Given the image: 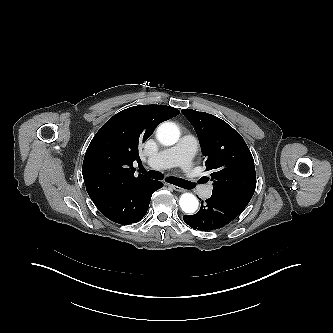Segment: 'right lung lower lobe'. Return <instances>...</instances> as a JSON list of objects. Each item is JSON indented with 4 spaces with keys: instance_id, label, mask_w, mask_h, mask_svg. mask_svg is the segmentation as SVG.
Listing matches in <instances>:
<instances>
[{
    "instance_id": "obj_1",
    "label": "right lung lower lobe",
    "mask_w": 333,
    "mask_h": 333,
    "mask_svg": "<svg viewBox=\"0 0 333 333\" xmlns=\"http://www.w3.org/2000/svg\"><path fill=\"white\" fill-rule=\"evenodd\" d=\"M161 187V182L148 179L96 204V207L113 222L125 225L136 223L145 216L153 192Z\"/></svg>"
}]
</instances>
